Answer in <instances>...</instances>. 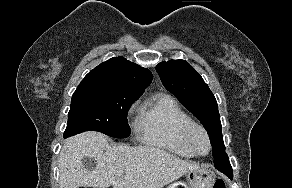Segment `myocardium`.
Listing matches in <instances>:
<instances>
[{
  "label": "myocardium",
  "mask_w": 292,
  "mask_h": 188,
  "mask_svg": "<svg viewBox=\"0 0 292 188\" xmlns=\"http://www.w3.org/2000/svg\"><path fill=\"white\" fill-rule=\"evenodd\" d=\"M196 132L202 133L208 142V150L206 153L199 152L193 143V136ZM183 136H184V141H185L186 145L195 155L206 156L211 152L212 142H211L210 135H209L208 131L206 130V128L204 126H202L201 124H198L196 122H192L191 124H189L185 128Z\"/></svg>",
  "instance_id": "f54148a6"
}]
</instances>
